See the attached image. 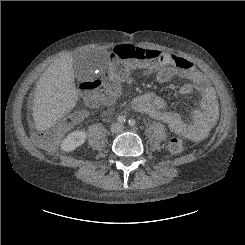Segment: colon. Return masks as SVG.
<instances>
[{
    "label": "colon",
    "instance_id": "5ec220e1",
    "mask_svg": "<svg viewBox=\"0 0 245 245\" xmlns=\"http://www.w3.org/2000/svg\"><path fill=\"white\" fill-rule=\"evenodd\" d=\"M145 59L144 50L134 45H123L118 54H115L109 63V68L103 76L85 81L81 85L86 105L91 108H97L101 104L100 95L110 93L115 90L117 82L123 80L128 71L139 61ZM160 63V61H158ZM78 119V114L72 112L56 125L39 132L36 135L37 143L44 148L54 146L65 131L70 129ZM168 151L173 155H179L184 150V140L182 137H173L168 141Z\"/></svg>",
    "mask_w": 245,
    "mask_h": 245
}]
</instances>
